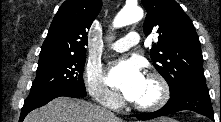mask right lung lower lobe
I'll return each mask as SVG.
<instances>
[{
	"label": "right lung lower lobe",
	"mask_w": 221,
	"mask_h": 122,
	"mask_svg": "<svg viewBox=\"0 0 221 122\" xmlns=\"http://www.w3.org/2000/svg\"><path fill=\"white\" fill-rule=\"evenodd\" d=\"M60 96L84 97L86 96V91L70 87H57L45 91L30 92V95L25 100L21 110L19 122H22L30 111L41 107L52 99Z\"/></svg>",
	"instance_id": "98d812e1"
}]
</instances>
